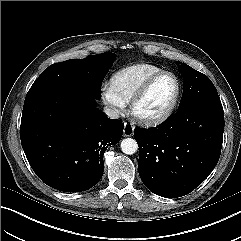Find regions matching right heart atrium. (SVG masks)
Here are the masks:
<instances>
[{
  "label": "right heart atrium",
  "mask_w": 241,
  "mask_h": 241,
  "mask_svg": "<svg viewBox=\"0 0 241 241\" xmlns=\"http://www.w3.org/2000/svg\"><path fill=\"white\" fill-rule=\"evenodd\" d=\"M101 98L104 104L113 112L121 113L125 110L126 103L117 94L110 83H106L101 88Z\"/></svg>",
  "instance_id": "d8ad5b80"
}]
</instances>
